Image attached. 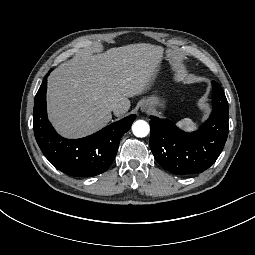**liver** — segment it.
<instances>
[{
  "label": "liver",
  "instance_id": "liver-1",
  "mask_svg": "<svg viewBox=\"0 0 255 255\" xmlns=\"http://www.w3.org/2000/svg\"><path fill=\"white\" fill-rule=\"evenodd\" d=\"M163 47L149 43L115 47L96 55L79 54L62 63L48 78V117L66 138H80L112 119L111 104L130 108L129 97L146 91L154 80Z\"/></svg>",
  "mask_w": 255,
  "mask_h": 255
}]
</instances>
